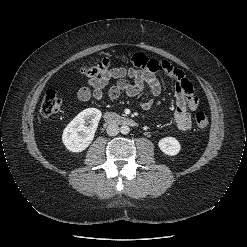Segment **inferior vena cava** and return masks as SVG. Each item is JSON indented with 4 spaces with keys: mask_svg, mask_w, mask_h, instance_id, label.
Masks as SVG:
<instances>
[{
    "mask_svg": "<svg viewBox=\"0 0 247 247\" xmlns=\"http://www.w3.org/2000/svg\"><path fill=\"white\" fill-rule=\"evenodd\" d=\"M106 131L108 135L115 136L119 133V126L115 123L109 124Z\"/></svg>",
    "mask_w": 247,
    "mask_h": 247,
    "instance_id": "inferior-vena-cava-1",
    "label": "inferior vena cava"
}]
</instances>
